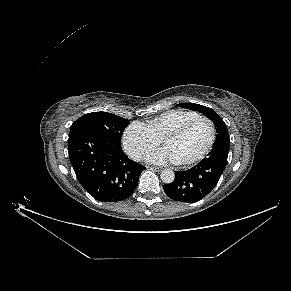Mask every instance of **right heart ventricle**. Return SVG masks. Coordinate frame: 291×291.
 <instances>
[{
  "mask_svg": "<svg viewBox=\"0 0 291 291\" xmlns=\"http://www.w3.org/2000/svg\"><path fill=\"white\" fill-rule=\"evenodd\" d=\"M199 116L195 111L181 109L170 110L151 119L146 126L157 138L162 140L170 131Z\"/></svg>",
  "mask_w": 291,
  "mask_h": 291,
  "instance_id": "right-heart-ventricle-1",
  "label": "right heart ventricle"
}]
</instances>
